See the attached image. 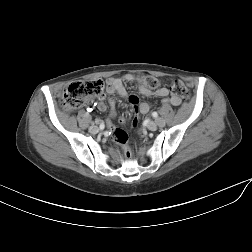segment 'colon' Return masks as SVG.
Returning <instances> with one entry per match:
<instances>
[{
    "label": "colon",
    "mask_w": 252,
    "mask_h": 252,
    "mask_svg": "<svg viewBox=\"0 0 252 252\" xmlns=\"http://www.w3.org/2000/svg\"><path fill=\"white\" fill-rule=\"evenodd\" d=\"M138 79L143 86L150 89H156L160 84L156 77L150 75H141ZM170 90L179 98L187 99L189 97V90L181 81H173L170 85ZM103 92L104 84L101 80L75 82L69 85L64 91L61 97V105L65 110L72 111L85 105L91 98L101 97ZM135 109L137 110V108ZM120 122L123 125L126 123V119ZM137 123V118H134L132 121L133 127H135ZM113 136L121 145H124L128 139L126 131L122 128L115 129L113 131ZM124 153L127 158H130V151L128 148L125 147Z\"/></svg>",
    "instance_id": "colon-1"
}]
</instances>
